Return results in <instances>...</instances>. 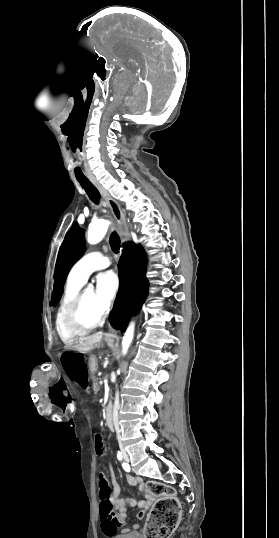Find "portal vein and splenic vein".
Returning <instances> with one entry per match:
<instances>
[{"label": "portal vein and splenic vein", "instance_id": "1", "mask_svg": "<svg viewBox=\"0 0 279 538\" xmlns=\"http://www.w3.org/2000/svg\"><path fill=\"white\" fill-rule=\"evenodd\" d=\"M100 385H103L104 380H99Z\"/></svg>", "mask_w": 279, "mask_h": 538}]
</instances>
